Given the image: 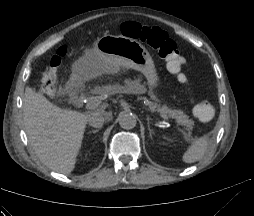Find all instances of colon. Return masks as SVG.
<instances>
[{
  "mask_svg": "<svg viewBox=\"0 0 254 216\" xmlns=\"http://www.w3.org/2000/svg\"><path fill=\"white\" fill-rule=\"evenodd\" d=\"M121 32L127 37L146 43L153 51L167 60L168 68L171 71L178 72L184 66L185 60L178 51L176 43L164 30L140 23L126 22L121 26ZM66 54L67 47L63 45L51 57L48 69L42 79L41 88L43 91L55 89L57 68L61 64L62 57ZM180 78L184 79V75L180 74ZM193 114L202 122H210L215 116V108L211 102L200 100L194 103Z\"/></svg>",
  "mask_w": 254,
  "mask_h": 216,
  "instance_id": "colon-1",
  "label": "colon"
}]
</instances>
